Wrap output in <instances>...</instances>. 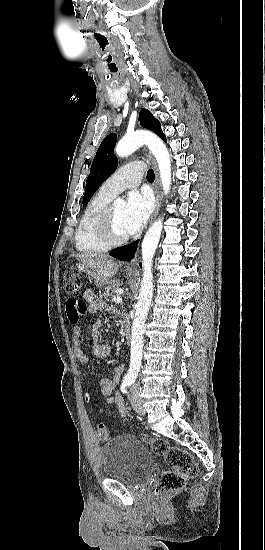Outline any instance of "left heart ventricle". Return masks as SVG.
<instances>
[{
  "instance_id": "b2bd125f",
  "label": "left heart ventricle",
  "mask_w": 265,
  "mask_h": 550,
  "mask_svg": "<svg viewBox=\"0 0 265 550\" xmlns=\"http://www.w3.org/2000/svg\"><path fill=\"white\" fill-rule=\"evenodd\" d=\"M113 221H114V229L117 235L124 236V235L130 234L125 222L124 205L113 206Z\"/></svg>"
}]
</instances>
